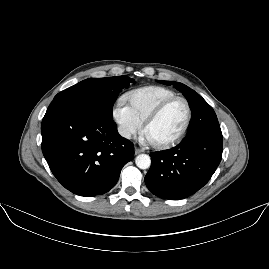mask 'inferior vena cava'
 <instances>
[{"mask_svg": "<svg viewBox=\"0 0 269 269\" xmlns=\"http://www.w3.org/2000/svg\"><path fill=\"white\" fill-rule=\"evenodd\" d=\"M118 133L122 136V137H124V138H126V139H131V136H132V134H131V131L130 130H128L127 128H125V127H118Z\"/></svg>", "mask_w": 269, "mask_h": 269, "instance_id": "inferior-vena-cava-1", "label": "inferior vena cava"}]
</instances>
